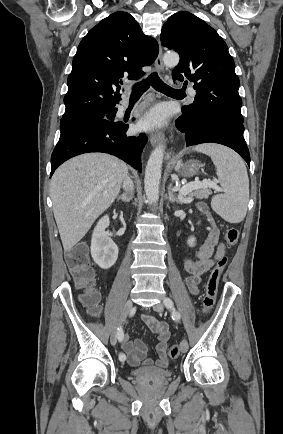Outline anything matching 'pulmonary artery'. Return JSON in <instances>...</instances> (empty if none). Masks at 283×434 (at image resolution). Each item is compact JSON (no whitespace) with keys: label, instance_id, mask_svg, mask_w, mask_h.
<instances>
[{"label":"pulmonary artery","instance_id":"obj_1","mask_svg":"<svg viewBox=\"0 0 283 434\" xmlns=\"http://www.w3.org/2000/svg\"><path fill=\"white\" fill-rule=\"evenodd\" d=\"M187 92L189 95L194 96L195 95V90L192 87H188L187 88Z\"/></svg>","mask_w":283,"mask_h":434}]
</instances>
